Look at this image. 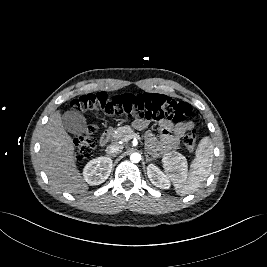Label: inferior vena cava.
Listing matches in <instances>:
<instances>
[{
  "label": "inferior vena cava",
  "instance_id": "obj_1",
  "mask_svg": "<svg viewBox=\"0 0 267 267\" xmlns=\"http://www.w3.org/2000/svg\"><path fill=\"white\" fill-rule=\"evenodd\" d=\"M122 149H123V146L121 145H118V144H112V145H109L107 148H106V153L108 156L110 157H115L117 156L119 153L122 152Z\"/></svg>",
  "mask_w": 267,
  "mask_h": 267
}]
</instances>
